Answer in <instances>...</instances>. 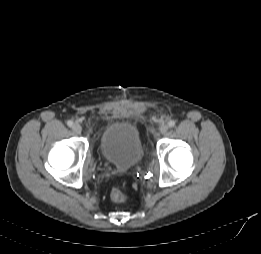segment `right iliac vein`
Here are the masks:
<instances>
[{"label":"right iliac vein","mask_w":261,"mask_h":254,"mask_svg":"<svg viewBox=\"0 0 261 254\" xmlns=\"http://www.w3.org/2000/svg\"><path fill=\"white\" fill-rule=\"evenodd\" d=\"M72 130L74 131V133L80 134L81 131H82V127L80 126V124L75 123V124L72 126Z\"/></svg>","instance_id":"obj_1"}]
</instances>
